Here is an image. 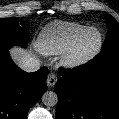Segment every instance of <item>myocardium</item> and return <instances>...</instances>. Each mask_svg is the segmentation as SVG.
Returning a JSON list of instances; mask_svg holds the SVG:
<instances>
[{
	"mask_svg": "<svg viewBox=\"0 0 119 119\" xmlns=\"http://www.w3.org/2000/svg\"><path fill=\"white\" fill-rule=\"evenodd\" d=\"M90 32H96L98 34L97 46L88 53H78V46L82 39ZM103 46V35L101 31L96 27H87L80 32L70 46L62 53V63L68 68H76L88 63L101 51Z\"/></svg>",
	"mask_w": 119,
	"mask_h": 119,
	"instance_id": "myocardium-1",
	"label": "myocardium"
}]
</instances>
